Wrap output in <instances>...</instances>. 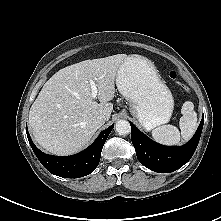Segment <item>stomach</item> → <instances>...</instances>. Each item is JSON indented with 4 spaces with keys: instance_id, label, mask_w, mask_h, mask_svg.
<instances>
[{
    "instance_id": "stomach-1",
    "label": "stomach",
    "mask_w": 221,
    "mask_h": 221,
    "mask_svg": "<svg viewBox=\"0 0 221 221\" xmlns=\"http://www.w3.org/2000/svg\"><path fill=\"white\" fill-rule=\"evenodd\" d=\"M116 85L129 102L131 115L146 130L169 122L174 99L151 60L140 55L127 56L117 71Z\"/></svg>"
}]
</instances>
